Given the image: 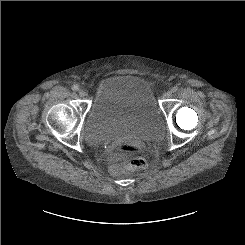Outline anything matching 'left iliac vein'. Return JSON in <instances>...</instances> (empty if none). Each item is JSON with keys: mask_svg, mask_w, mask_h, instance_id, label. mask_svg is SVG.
<instances>
[{"mask_svg": "<svg viewBox=\"0 0 245 245\" xmlns=\"http://www.w3.org/2000/svg\"><path fill=\"white\" fill-rule=\"evenodd\" d=\"M172 95V91L171 90H168L166 93H165V97L166 98H170Z\"/></svg>", "mask_w": 245, "mask_h": 245, "instance_id": "4c4485c4", "label": "left iliac vein"}]
</instances>
